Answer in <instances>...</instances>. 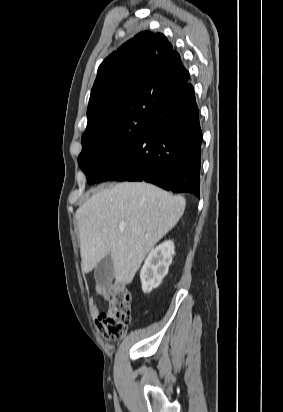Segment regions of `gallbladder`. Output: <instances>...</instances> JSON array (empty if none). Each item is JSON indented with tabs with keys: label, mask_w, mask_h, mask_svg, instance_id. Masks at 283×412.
<instances>
[{
	"label": "gallbladder",
	"mask_w": 283,
	"mask_h": 412,
	"mask_svg": "<svg viewBox=\"0 0 283 412\" xmlns=\"http://www.w3.org/2000/svg\"><path fill=\"white\" fill-rule=\"evenodd\" d=\"M94 277L100 285L108 284L114 277V264L111 256L106 255L95 267Z\"/></svg>",
	"instance_id": "obj_1"
}]
</instances>
